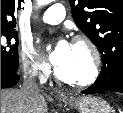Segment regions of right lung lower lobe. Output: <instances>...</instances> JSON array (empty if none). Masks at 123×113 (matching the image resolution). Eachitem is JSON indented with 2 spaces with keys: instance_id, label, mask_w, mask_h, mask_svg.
Listing matches in <instances>:
<instances>
[{
  "instance_id": "right-lung-lower-lobe-1",
  "label": "right lung lower lobe",
  "mask_w": 123,
  "mask_h": 113,
  "mask_svg": "<svg viewBox=\"0 0 123 113\" xmlns=\"http://www.w3.org/2000/svg\"><path fill=\"white\" fill-rule=\"evenodd\" d=\"M20 76L17 73L1 72V89L9 88L18 83Z\"/></svg>"
}]
</instances>
